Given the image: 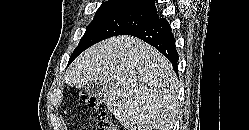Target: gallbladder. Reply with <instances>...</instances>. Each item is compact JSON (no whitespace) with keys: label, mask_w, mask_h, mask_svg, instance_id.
<instances>
[{"label":"gallbladder","mask_w":249,"mask_h":130,"mask_svg":"<svg viewBox=\"0 0 249 130\" xmlns=\"http://www.w3.org/2000/svg\"><path fill=\"white\" fill-rule=\"evenodd\" d=\"M84 91L89 97L99 98L103 95L102 86L98 81L88 83Z\"/></svg>","instance_id":"gallbladder-1"}]
</instances>
